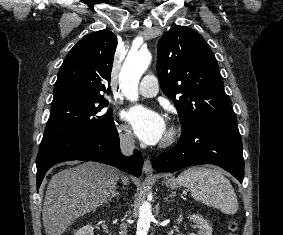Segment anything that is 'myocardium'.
Masks as SVG:
<instances>
[{"instance_id": "f54148a6", "label": "myocardium", "mask_w": 283, "mask_h": 235, "mask_svg": "<svg viewBox=\"0 0 283 235\" xmlns=\"http://www.w3.org/2000/svg\"><path fill=\"white\" fill-rule=\"evenodd\" d=\"M179 133V129L177 126H171L168 131L166 132L164 138L162 139L160 146L161 147H168L174 143L176 137Z\"/></svg>"}]
</instances>
